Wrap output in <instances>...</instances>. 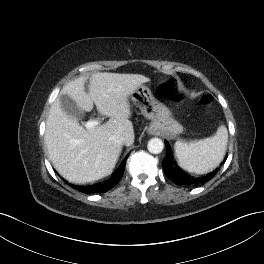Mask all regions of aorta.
I'll return each mask as SVG.
<instances>
[{
  "label": "aorta",
  "mask_w": 264,
  "mask_h": 264,
  "mask_svg": "<svg viewBox=\"0 0 264 264\" xmlns=\"http://www.w3.org/2000/svg\"><path fill=\"white\" fill-rule=\"evenodd\" d=\"M148 151L152 154H159L163 151L164 143L160 138H152L147 145Z\"/></svg>",
  "instance_id": "aorta-1"
}]
</instances>
